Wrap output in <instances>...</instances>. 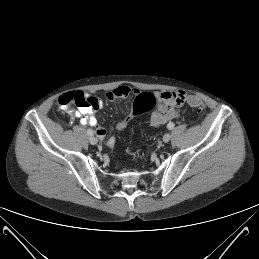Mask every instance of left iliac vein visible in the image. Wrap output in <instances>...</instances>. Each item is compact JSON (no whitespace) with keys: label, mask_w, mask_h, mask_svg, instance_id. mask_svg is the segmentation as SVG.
<instances>
[{"label":"left iliac vein","mask_w":259,"mask_h":259,"mask_svg":"<svg viewBox=\"0 0 259 259\" xmlns=\"http://www.w3.org/2000/svg\"><path fill=\"white\" fill-rule=\"evenodd\" d=\"M170 139H171V135L168 134V133L163 136V141H164L165 143L169 142Z\"/></svg>","instance_id":"4c4485c4"}]
</instances>
